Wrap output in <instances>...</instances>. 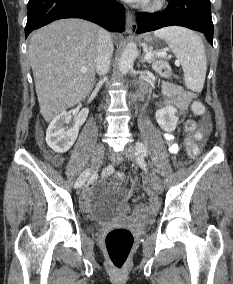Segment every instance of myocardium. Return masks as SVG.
I'll return each instance as SVG.
<instances>
[{"label": "myocardium", "mask_w": 233, "mask_h": 284, "mask_svg": "<svg viewBox=\"0 0 233 284\" xmlns=\"http://www.w3.org/2000/svg\"><path fill=\"white\" fill-rule=\"evenodd\" d=\"M165 3V0H147L145 3V8L149 11H154L160 9Z\"/></svg>", "instance_id": "1"}]
</instances>
